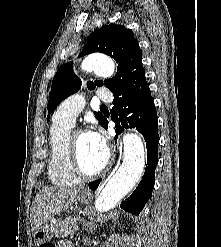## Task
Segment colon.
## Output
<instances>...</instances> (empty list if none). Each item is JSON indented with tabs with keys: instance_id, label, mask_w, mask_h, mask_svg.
I'll return each instance as SVG.
<instances>
[{
	"instance_id": "colon-1",
	"label": "colon",
	"mask_w": 221,
	"mask_h": 247,
	"mask_svg": "<svg viewBox=\"0 0 221 247\" xmlns=\"http://www.w3.org/2000/svg\"><path fill=\"white\" fill-rule=\"evenodd\" d=\"M41 247H56V246H54L51 243H46V244L41 245Z\"/></svg>"
}]
</instances>
